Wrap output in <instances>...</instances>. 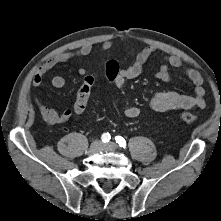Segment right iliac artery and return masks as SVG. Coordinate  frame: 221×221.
Wrapping results in <instances>:
<instances>
[{
    "mask_svg": "<svg viewBox=\"0 0 221 221\" xmlns=\"http://www.w3.org/2000/svg\"><path fill=\"white\" fill-rule=\"evenodd\" d=\"M111 136L109 133H104L102 136H101V140L102 142L106 143V142H109Z\"/></svg>",
    "mask_w": 221,
    "mask_h": 221,
    "instance_id": "obj_1",
    "label": "right iliac artery"
}]
</instances>
